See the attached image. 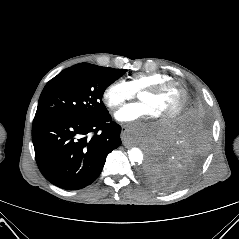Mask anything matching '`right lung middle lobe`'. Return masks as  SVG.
Instances as JSON below:
<instances>
[{
  "label": "right lung middle lobe",
  "instance_id": "dd1d6c3e",
  "mask_svg": "<svg viewBox=\"0 0 239 239\" xmlns=\"http://www.w3.org/2000/svg\"><path fill=\"white\" fill-rule=\"evenodd\" d=\"M125 71L88 63L63 70L44 87L35 117L93 119L108 113L102 95Z\"/></svg>",
  "mask_w": 239,
  "mask_h": 239
}]
</instances>
